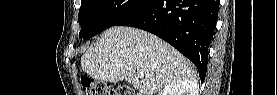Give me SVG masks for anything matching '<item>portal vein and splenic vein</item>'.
Returning <instances> with one entry per match:
<instances>
[{"label":"portal vein and splenic vein","mask_w":277,"mask_h":95,"mask_svg":"<svg viewBox=\"0 0 277 95\" xmlns=\"http://www.w3.org/2000/svg\"><path fill=\"white\" fill-rule=\"evenodd\" d=\"M143 76H144L143 73H141V72L138 73V77L142 78Z\"/></svg>","instance_id":"obj_1"}]
</instances>
